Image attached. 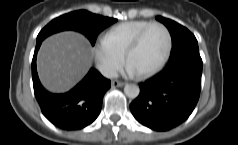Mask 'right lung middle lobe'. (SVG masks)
Instances as JSON below:
<instances>
[{
  "instance_id": "1",
  "label": "right lung middle lobe",
  "mask_w": 238,
  "mask_h": 145,
  "mask_svg": "<svg viewBox=\"0 0 238 145\" xmlns=\"http://www.w3.org/2000/svg\"><path fill=\"white\" fill-rule=\"evenodd\" d=\"M117 19L103 17L86 10L73 11L52 20L38 34L37 42L43 41L53 33L74 30L84 34L94 46L99 33Z\"/></svg>"
}]
</instances>
